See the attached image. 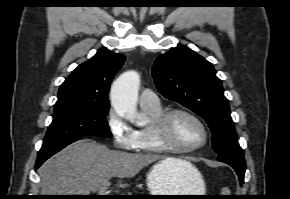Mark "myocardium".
<instances>
[{
    "instance_id": "f54148a6",
    "label": "myocardium",
    "mask_w": 290,
    "mask_h": 199,
    "mask_svg": "<svg viewBox=\"0 0 290 199\" xmlns=\"http://www.w3.org/2000/svg\"><path fill=\"white\" fill-rule=\"evenodd\" d=\"M186 115L195 120L203 131V140L193 147H180L167 138L168 125L170 120L176 115ZM151 132L155 143L165 152L176 154H190L203 148L209 139V131L204 121L194 112L185 108H174L165 111L160 117L155 119L151 125Z\"/></svg>"
}]
</instances>
